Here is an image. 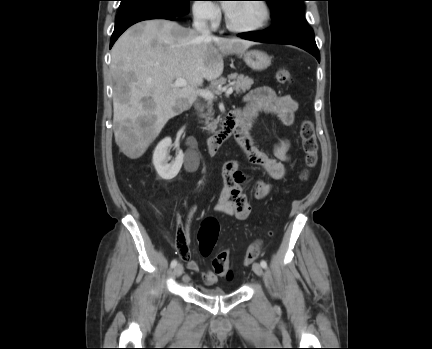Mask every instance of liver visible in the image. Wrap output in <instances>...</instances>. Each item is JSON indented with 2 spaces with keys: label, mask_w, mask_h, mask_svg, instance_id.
Masks as SVG:
<instances>
[{
  "label": "liver",
  "mask_w": 432,
  "mask_h": 349,
  "mask_svg": "<svg viewBox=\"0 0 432 349\" xmlns=\"http://www.w3.org/2000/svg\"><path fill=\"white\" fill-rule=\"evenodd\" d=\"M252 41L202 36L168 20L138 23L111 51L115 142L131 159L141 157L165 124L188 110L204 79L223 73V56L244 53ZM178 77L187 85L173 87Z\"/></svg>",
  "instance_id": "1"
}]
</instances>
